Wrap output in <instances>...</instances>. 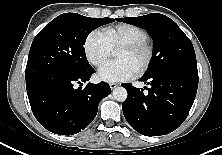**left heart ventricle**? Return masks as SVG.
<instances>
[{
  "mask_svg": "<svg viewBox=\"0 0 222 155\" xmlns=\"http://www.w3.org/2000/svg\"><path fill=\"white\" fill-rule=\"evenodd\" d=\"M146 54L144 51L128 52L125 50H118L116 52V59L125 61L136 71L144 62Z\"/></svg>",
  "mask_w": 222,
  "mask_h": 155,
  "instance_id": "b2bd125f",
  "label": "left heart ventricle"
}]
</instances>
